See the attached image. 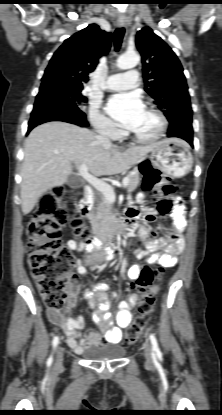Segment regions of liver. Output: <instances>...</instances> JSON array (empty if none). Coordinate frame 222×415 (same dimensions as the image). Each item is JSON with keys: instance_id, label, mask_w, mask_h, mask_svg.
<instances>
[{"instance_id": "liver-1", "label": "liver", "mask_w": 222, "mask_h": 415, "mask_svg": "<svg viewBox=\"0 0 222 415\" xmlns=\"http://www.w3.org/2000/svg\"><path fill=\"white\" fill-rule=\"evenodd\" d=\"M156 144L120 150L100 143L86 128L53 121L34 128L25 141L21 169L24 215L48 190L67 182L72 163L85 164L95 176L121 173L143 159Z\"/></svg>"}]
</instances>
